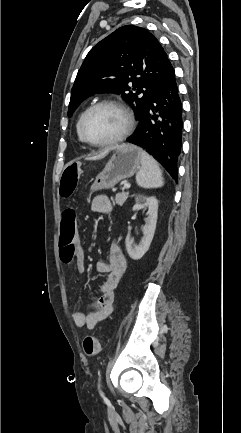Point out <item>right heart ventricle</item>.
Segmentation results:
<instances>
[{
	"label": "right heart ventricle",
	"instance_id": "obj_1",
	"mask_svg": "<svg viewBox=\"0 0 241 433\" xmlns=\"http://www.w3.org/2000/svg\"><path fill=\"white\" fill-rule=\"evenodd\" d=\"M80 117H81V116H80ZM79 120H80V118L78 119V122H77V125H76V130H77L78 138H79V140H81V139H80V136H79V131H78Z\"/></svg>",
	"mask_w": 241,
	"mask_h": 433
}]
</instances>
